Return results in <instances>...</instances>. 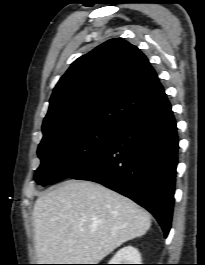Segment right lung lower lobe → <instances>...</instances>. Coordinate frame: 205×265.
Listing matches in <instances>:
<instances>
[{"label":"right lung lower lobe","mask_w":205,"mask_h":265,"mask_svg":"<svg viewBox=\"0 0 205 265\" xmlns=\"http://www.w3.org/2000/svg\"><path fill=\"white\" fill-rule=\"evenodd\" d=\"M178 136L164 93L153 105L123 121L111 142L71 178L115 190L146 208L165 237L171 228Z\"/></svg>","instance_id":"obj_1"}]
</instances>
